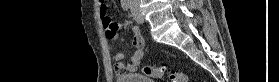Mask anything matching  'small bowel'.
Instances as JSON below:
<instances>
[{
  "label": "small bowel",
  "mask_w": 279,
  "mask_h": 82,
  "mask_svg": "<svg viewBox=\"0 0 279 82\" xmlns=\"http://www.w3.org/2000/svg\"><path fill=\"white\" fill-rule=\"evenodd\" d=\"M104 0L99 1V6H104ZM128 24V22H126ZM121 27L120 23L112 22L110 25H104L106 31V37L110 40H113L117 36V31ZM132 32V41L135 46V51L131 57L130 63L125 64L122 62L124 58V54L122 52H116L114 54V60L116 62V66L114 68V72L117 75L126 74L135 71L141 64V61L144 57V47L145 41L142 37L140 28L138 26H133L131 29Z\"/></svg>",
  "instance_id": "small-bowel-1"
}]
</instances>
